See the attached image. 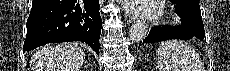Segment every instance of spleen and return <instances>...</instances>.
<instances>
[{
	"instance_id": "1",
	"label": "spleen",
	"mask_w": 230,
	"mask_h": 71,
	"mask_svg": "<svg viewBox=\"0 0 230 71\" xmlns=\"http://www.w3.org/2000/svg\"><path fill=\"white\" fill-rule=\"evenodd\" d=\"M157 57L159 71H204L199 54L183 41L162 42Z\"/></svg>"
}]
</instances>
